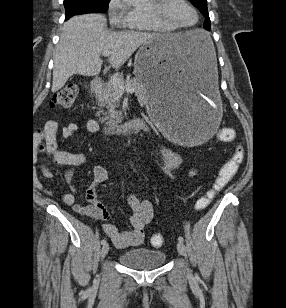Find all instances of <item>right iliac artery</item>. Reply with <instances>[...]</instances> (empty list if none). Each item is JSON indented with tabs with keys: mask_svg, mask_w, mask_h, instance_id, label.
Returning a JSON list of instances; mask_svg holds the SVG:
<instances>
[{
	"mask_svg": "<svg viewBox=\"0 0 286 308\" xmlns=\"http://www.w3.org/2000/svg\"><path fill=\"white\" fill-rule=\"evenodd\" d=\"M106 243H107V240H106L105 238H103V239L101 240V244L104 245V244H106Z\"/></svg>",
	"mask_w": 286,
	"mask_h": 308,
	"instance_id": "right-iliac-artery-1",
	"label": "right iliac artery"
}]
</instances>
